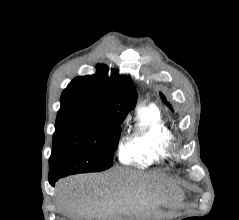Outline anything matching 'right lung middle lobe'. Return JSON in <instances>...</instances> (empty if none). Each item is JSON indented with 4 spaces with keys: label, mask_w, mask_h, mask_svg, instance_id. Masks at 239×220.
<instances>
[{
    "label": "right lung middle lobe",
    "mask_w": 239,
    "mask_h": 220,
    "mask_svg": "<svg viewBox=\"0 0 239 220\" xmlns=\"http://www.w3.org/2000/svg\"><path fill=\"white\" fill-rule=\"evenodd\" d=\"M123 120H56L49 179L110 168Z\"/></svg>",
    "instance_id": "1"
}]
</instances>
